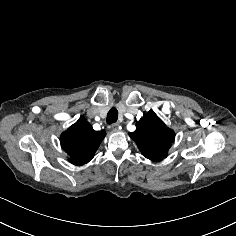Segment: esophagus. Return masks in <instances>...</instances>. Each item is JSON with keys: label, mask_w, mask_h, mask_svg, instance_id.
Here are the masks:
<instances>
[{"label": "esophagus", "mask_w": 236, "mask_h": 236, "mask_svg": "<svg viewBox=\"0 0 236 236\" xmlns=\"http://www.w3.org/2000/svg\"><path fill=\"white\" fill-rule=\"evenodd\" d=\"M118 127H119V122L113 123V124L111 125V128H112V130H114V131H117V130H118Z\"/></svg>", "instance_id": "34e87169"}]
</instances>
